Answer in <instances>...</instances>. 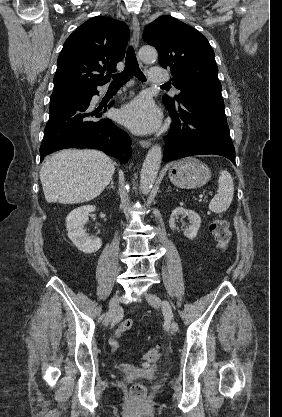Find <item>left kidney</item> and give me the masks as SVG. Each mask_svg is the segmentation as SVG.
<instances>
[{
	"label": "left kidney",
	"mask_w": 282,
	"mask_h": 417,
	"mask_svg": "<svg viewBox=\"0 0 282 417\" xmlns=\"http://www.w3.org/2000/svg\"><path fill=\"white\" fill-rule=\"evenodd\" d=\"M179 215H185L189 219V227L185 229L184 235L187 239H195L197 237V233L199 231L201 219L198 213L195 211H189V209H183V206H176V209L172 211L169 219L170 229H177L175 219H178Z\"/></svg>",
	"instance_id": "5707ae66"
}]
</instances>
